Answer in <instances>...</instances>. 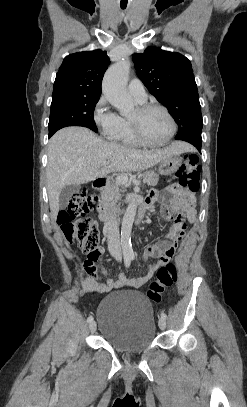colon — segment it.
Returning <instances> with one entry per match:
<instances>
[{
	"mask_svg": "<svg viewBox=\"0 0 247 407\" xmlns=\"http://www.w3.org/2000/svg\"><path fill=\"white\" fill-rule=\"evenodd\" d=\"M200 172L199 157L196 154H186L177 172L180 187L190 193H196L200 186ZM96 200L95 195L81 190L70 198L68 206L59 213L57 219L65 238L71 243H77L88 257L96 254L100 240L97 222L86 216L95 208ZM176 281V265L168 263L161 266L156 272V278L149 284L147 296L150 300L159 302L165 289Z\"/></svg>",
	"mask_w": 247,
	"mask_h": 407,
	"instance_id": "colon-1",
	"label": "colon"
}]
</instances>
